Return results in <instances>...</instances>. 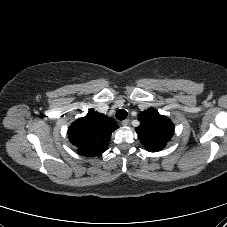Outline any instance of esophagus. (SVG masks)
I'll return each instance as SVG.
<instances>
[{
    "label": "esophagus",
    "instance_id": "obj_1",
    "mask_svg": "<svg viewBox=\"0 0 227 227\" xmlns=\"http://www.w3.org/2000/svg\"><path fill=\"white\" fill-rule=\"evenodd\" d=\"M121 124H122L123 126H127V125L129 124V120H128V119H125V120H123V121L121 122Z\"/></svg>",
    "mask_w": 227,
    "mask_h": 227
}]
</instances>
